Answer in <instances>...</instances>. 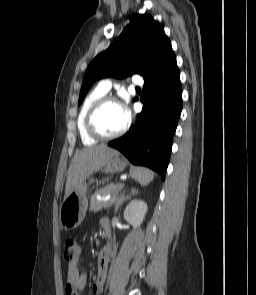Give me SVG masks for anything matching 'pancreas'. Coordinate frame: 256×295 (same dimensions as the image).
<instances>
[{"instance_id":"1","label":"pancreas","mask_w":256,"mask_h":295,"mask_svg":"<svg viewBox=\"0 0 256 295\" xmlns=\"http://www.w3.org/2000/svg\"><path fill=\"white\" fill-rule=\"evenodd\" d=\"M122 184H111L107 185L104 188L97 190L92 196L90 200V211L98 212L102 208H108L110 206V201H100L96 198L97 195H107L111 194L112 199L117 197L120 188H122Z\"/></svg>"}]
</instances>
